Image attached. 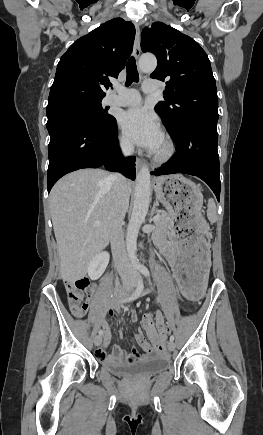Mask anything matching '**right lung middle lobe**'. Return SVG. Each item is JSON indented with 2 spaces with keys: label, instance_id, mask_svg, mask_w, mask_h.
<instances>
[{
  "label": "right lung middle lobe",
  "instance_id": "right-lung-middle-lobe-1",
  "mask_svg": "<svg viewBox=\"0 0 263 435\" xmlns=\"http://www.w3.org/2000/svg\"><path fill=\"white\" fill-rule=\"evenodd\" d=\"M101 101L102 99L73 100L47 106V126L65 118H82L98 125H106L114 117L103 109Z\"/></svg>",
  "mask_w": 263,
  "mask_h": 435
}]
</instances>
